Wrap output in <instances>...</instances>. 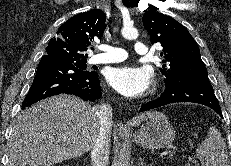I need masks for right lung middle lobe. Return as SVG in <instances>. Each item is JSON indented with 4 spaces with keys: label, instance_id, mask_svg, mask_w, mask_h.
Masks as SVG:
<instances>
[{
    "label": "right lung middle lobe",
    "instance_id": "right-lung-middle-lobe-1",
    "mask_svg": "<svg viewBox=\"0 0 231 166\" xmlns=\"http://www.w3.org/2000/svg\"><path fill=\"white\" fill-rule=\"evenodd\" d=\"M67 62L74 64L77 68L82 70H85L87 67L86 60H67Z\"/></svg>",
    "mask_w": 231,
    "mask_h": 166
}]
</instances>
